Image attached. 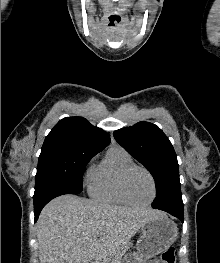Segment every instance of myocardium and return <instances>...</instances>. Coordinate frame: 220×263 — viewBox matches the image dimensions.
Segmentation results:
<instances>
[{
	"label": "myocardium",
	"mask_w": 220,
	"mask_h": 263,
	"mask_svg": "<svg viewBox=\"0 0 220 263\" xmlns=\"http://www.w3.org/2000/svg\"><path fill=\"white\" fill-rule=\"evenodd\" d=\"M135 170H141L143 172H145L148 177L150 178L151 180V183H152V196L151 198L145 202V203H137L135 202L129 195V192H128V180H129V177L130 175L135 171ZM120 189H121V193L123 195V197L126 199V201L131 204V205H134V206H137V207H145V206H148L150 205L156 198V195H157V184H156V180L153 176V174L144 166H140V165H132L130 167H128L122 174L121 176V180H120Z\"/></svg>",
	"instance_id": "myocardium-1"
}]
</instances>
